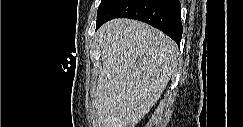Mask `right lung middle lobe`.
I'll return each mask as SVG.
<instances>
[{"instance_id":"1","label":"right lung middle lobe","mask_w":243,"mask_h":127,"mask_svg":"<svg viewBox=\"0 0 243 127\" xmlns=\"http://www.w3.org/2000/svg\"><path fill=\"white\" fill-rule=\"evenodd\" d=\"M109 1L110 0H102L101 3H100V5H99V8H98V12L97 13H99Z\"/></svg>"}]
</instances>
